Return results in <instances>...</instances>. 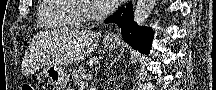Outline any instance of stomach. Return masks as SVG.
Returning a JSON list of instances; mask_svg holds the SVG:
<instances>
[{"label": "stomach", "mask_w": 216, "mask_h": 90, "mask_svg": "<svg viewBox=\"0 0 216 90\" xmlns=\"http://www.w3.org/2000/svg\"><path fill=\"white\" fill-rule=\"evenodd\" d=\"M103 45L106 49L114 50L118 47L119 43L116 40H105ZM41 74L50 84L60 88H65L69 80L67 69L58 65H48L44 67Z\"/></svg>", "instance_id": "obj_1"}]
</instances>
